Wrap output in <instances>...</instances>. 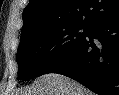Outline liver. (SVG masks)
<instances>
[{
	"mask_svg": "<svg viewBox=\"0 0 119 95\" xmlns=\"http://www.w3.org/2000/svg\"><path fill=\"white\" fill-rule=\"evenodd\" d=\"M16 95H94L93 92L63 75L44 74Z\"/></svg>",
	"mask_w": 119,
	"mask_h": 95,
	"instance_id": "1",
	"label": "liver"
}]
</instances>
